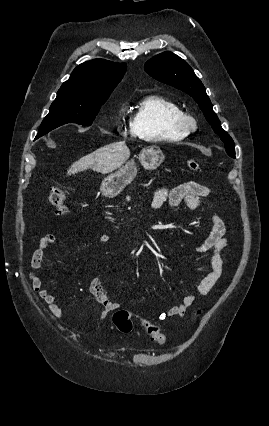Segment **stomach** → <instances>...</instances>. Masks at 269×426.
Masks as SVG:
<instances>
[{
  "label": "stomach",
  "mask_w": 269,
  "mask_h": 426,
  "mask_svg": "<svg viewBox=\"0 0 269 426\" xmlns=\"http://www.w3.org/2000/svg\"><path fill=\"white\" fill-rule=\"evenodd\" d=\"M164 154L158 147L144 148L139 154L141 165L147 170H154L161 165ZM137 166L134 160L125 163L118 171L107 176L100 187L104 196L115 197L130 184L137 175Z\"/></svg>",
  "instance_id": "obj_1"
}]
</instances>
